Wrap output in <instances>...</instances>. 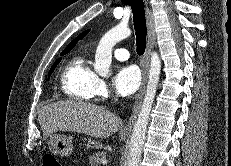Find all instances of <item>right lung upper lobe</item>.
<instances>
[{
	"label": "right lung upper lobe",
	"instance_id": "right-lung-upper-lobe-1",
	"mask_svg": "<svg viewBox=\"0 0 231 166\" xmlns=\"http://www.w3.org/2000/svg\"><path fill=\"white\" fill-rule=\"evenodd\" d=\"M90 30H86L83 33H81L79 36H77L74 40L71 41V43L62 51V53L64 52H69L70 50H72L74 48V46L77 44V42L81 39H83L89 32Z\"/></svg>",
	"mask_w": 231,
	"mask_h": 166
}]
</instances>
